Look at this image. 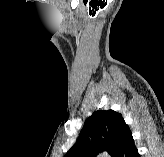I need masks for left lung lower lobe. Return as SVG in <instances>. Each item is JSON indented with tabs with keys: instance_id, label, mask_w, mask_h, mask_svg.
Returning <instances> with one entry per match:
<instances>
[{
	"instance_id": "0a47b994",
	"label": "left lung lower lobe",
	"mask_w": 164,
	"mask_h": 157,
	"mask_svg": "<svg viewBox=\"0 0 164 157\" xmlns=\"http://www.w3.org/2000/svg\"><path fill=\"white\" fill-rule=\"evenodd\" d=\"M114 157H140L137 148L134 145L133 137H130L122 147L116 152Z\"/></svg>"
}]
</instances>
